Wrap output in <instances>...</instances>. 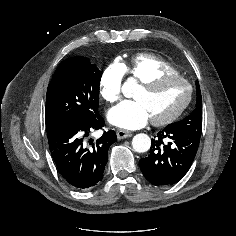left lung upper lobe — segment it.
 Listing matches in <instances>:
<instances>
[{
	"label": "left lung upper lobe",
	"instance_id": "left-lung-upper-lobe-1",
	"mask_svg": "<svg viewBox=\"0 0 236 236\" xmlns=\"http://www.w3.org/2000/svg\"><path fill=\"white\" fill-rule=\"evenodd\" d=\"M197 101L195 110L183 120L169 124L168 127H173L181 130L190 131L201 135L202 130V99L199 82L196 81Z\"/></svg>",
	"mask_w": 236,
	"mask_h": 236
}]
</instances>
